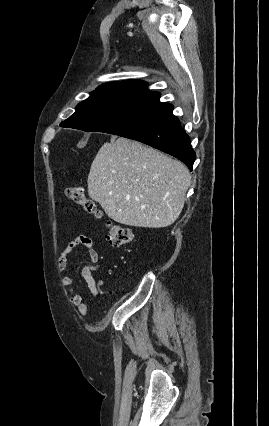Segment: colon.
<instances>
[{
  "label": "colon",
  "mask_w": 269,
  "mask_h": 426,
  "mask_svg": "<svg viewBox=\"0 0 269 426\" xmlns=\"http://www.w3.org/2000/svg\"><path fill=\"white\" fill-rule=\"evenodd\" d=\"M67 196L79 205L84 212L98 218L102 216L93 200L86 197L82 189L78 186H70L66 190ZM106 237L111 245L121 247L132 242L134 234L131 229L107 222L105 225Z\"/></svg>",
  "instance_id": "1"
}]
</instances>
